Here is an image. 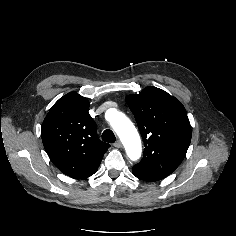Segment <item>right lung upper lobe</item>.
<instances>
[{
	"mask_svg": "<svg viewBox=\"0 0 236 236\" xmlns=\"http://www.w3.org/2000/svg\"><path fill=\"white\" fill-rule=\"evenodd\" d=\"M89 101L76 92L61 97L41 126L44 148L65 175L84 179L93 175L110 147L102 142L88 113Z\"/></svg>",
	"mask_w": 236,
	"mask_h": 236,
	"instance_id": "right-lung-upper-lobe-1",
	"label": "right lung upper lobe"
}]
</instances>
